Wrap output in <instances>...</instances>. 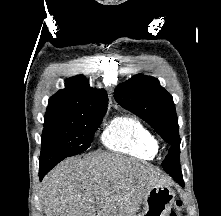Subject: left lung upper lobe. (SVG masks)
Segmentation results:
<instances>
[{"label":"left lung upper lobe","mask_w":221,"mask_h":216,"mask_svg":"<svg viewBox=\"0 0 221 216\" xmlns=\"http://www.w3.org/2000/svg\"><path fill=\"white\" fill-rule=\"evenodd\" d=\"M115 100L125 109L150 124L161 137L171 143L163 169L171 176H180V137L178 118L172 96L157 79L142 74L118 85Z\"/></svg>","instance_id":"obj_1"}]
</instances>
